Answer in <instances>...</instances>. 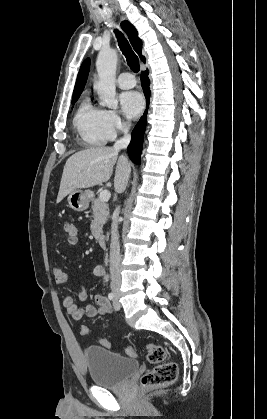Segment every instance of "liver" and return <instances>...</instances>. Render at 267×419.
Listing matches in <instances>:
<instances>
[{"label": "liver", "instance_id": "liver-1", "mask_svg": "<svg viewBox=\"0 0 267 419\" xmlns=\"http://www.w3.org/2000/svg\"><path fill=\"white\" fill-rule=\"evenodd\" d=\"M118 152L113 147H90L70 156L63 169L57 203L74 190L108 181L116 163L114 187L117 192H123L131 168L127 157H118Z\"/></svg>", "mask_w": 267, "mask_h": 419}]
</instances>
